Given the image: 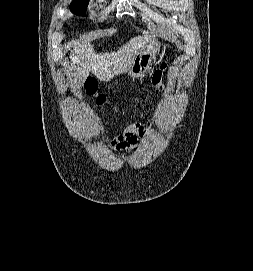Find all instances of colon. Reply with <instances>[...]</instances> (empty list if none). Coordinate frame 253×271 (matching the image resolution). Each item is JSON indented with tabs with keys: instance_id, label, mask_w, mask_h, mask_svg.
Here are the masks:
<instances>
[{
	"instance_id": "colon-1",
	"label": "colon",
	"mask_w": 253,
	"mask_h": 271,
	"mask_svg": "<svg viewBox=\"0 0 253 271\" xmlns=\"http://www.w3.org/2000/svg\"><path fill=\"white\" fill-rule=\"evenodd\" d=\"M169 66H170L169 61H164L159 67V69L153 75L152 87L156 91H159L160 89L163 88L164 75L168 70ZM85 86L89 94L95 95L97 103L101 104L104 102V96L96 94V83L93 79H88Z\"/></svg>"
}]
</instances>
